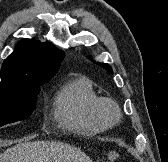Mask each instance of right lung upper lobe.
<instances>
[{"instance_id": "right-lung-upper-lobe-1", "label": "right lung upper lobe", "mask_w": 168, "mask_h": 162, "mask_svg": "<svg viewBox=\"0 0 168 162\" xmlns=\"http://www.w3.org/2000/svg\"><path fill=\"white\" fill-rule=\"evenodd\" d=\"M64 53L46 42L24 39L16 45L1 68L0 91L13 89L23 82L51 79L60 67Z\"/></svg>"}]
</instances>
